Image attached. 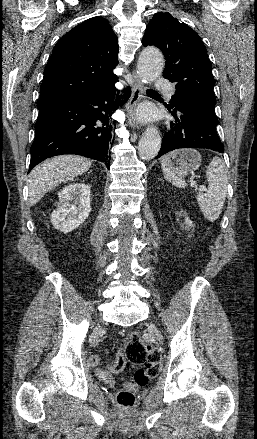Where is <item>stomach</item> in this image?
<instances>
[{
    "label": "stomach",
    "instance_id": "obj_1",
    "mask_svg": "<svg viewBox=\"0 0 257 439\" xmlns=\"http://www.w3.org/2000/svg\"><path fill=\"white\" fill-rule=\"evenodd\" d=\"M201 160L200 153L194 149H178L169 154L168 167L176 176L183 178L198 169Z\"/></svg>",
    "mask_w": 257,
    "mask_h": 439
}]
</instances>
